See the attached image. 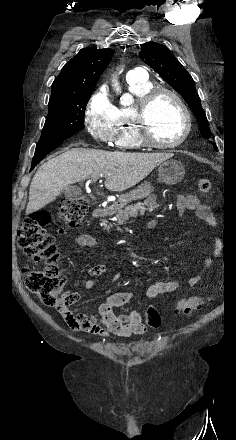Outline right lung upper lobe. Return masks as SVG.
Instances as JSON below:
<instances>
[{
    "label": "right lung upper lobe",
    "mask_w": 236,
    "mask_h": 440,
    "mask_svg": "<svg viewBox=\"0 0 236 440\" xmlns=\"http://www.w3.org/2000/svg\"><path fill=\"white\" fill-rule=\"evenodd\" d=\"M114 51L84 48L65 64L52 83L49 103L67 101L92 93Z\"/></svg>",
    "instance_id": "1"
}]
</instances>
